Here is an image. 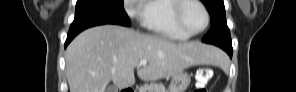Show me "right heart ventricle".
<instances>
[{
    "instance_id": "e07e8e85",
    "label": "right heart ventricle",
    "mask_w": 296,
    "mask_h": 92,
    "mask_svg": "<svg viewBox=\"0 0 296 92\" xmlns=\"http://www.w3.org/2000/svg\"><path fill=\"white\" fill-rule=\"evenodd\" d=\"M177 0H152L145 6L143 26L158 35L172 40H186L189 38L175 24L173 11Z\"/></svg>"
}]
</instances>
